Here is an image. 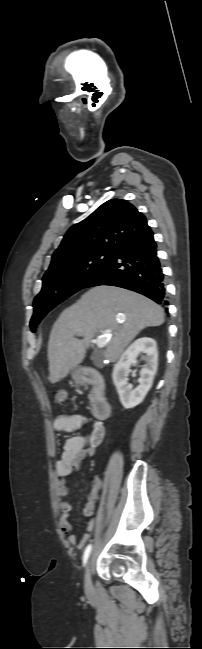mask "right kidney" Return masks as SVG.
<instances>
[{"label": "right kidney", "mask_w": 202, "mask_h": 649, "mask_svg": "<svg viewBox=\"0 0 202 649\" xmlns=\"http://www.w3.org/2000/svg\"><path fill=\"white\" fill-rule=\"evenodd\" d=\"M140 353L145 354L146 364L140 371V384L132 389L128 384V373ZM158 352L154 339L141 337L135 340L121 355L113 368L112 378L124 408H133L140 404L153 385L157 371Z\"/></svg>", "instance_id": "1"}]
</instances>
